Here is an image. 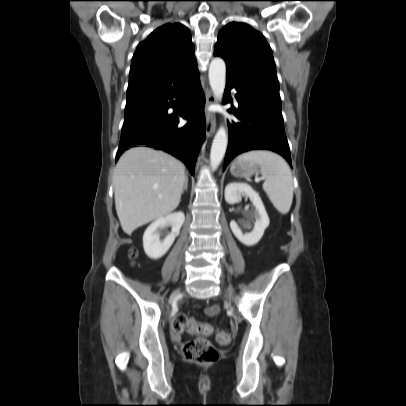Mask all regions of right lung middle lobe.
Returning a JSON list of instances; mask_svg holds the SVG:
<instances>
[{"instance_id":"1","label":"right lung middle lobe","mask_w":406,"mask_h":406,"mask_svg":"<svg viewBox=\"0 0 406 406\" xmlns=\"http://www.w3.org/2000/svg\"><path fill=\"white\" fill-rule=\"evenodd\" d=\"M160 109L158 99L146 100L125 107L122 130L130 129L156 118Z\"/></svg>"}]
</instances>
